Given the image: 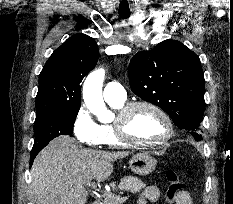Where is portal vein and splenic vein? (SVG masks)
<instances>
[{"label":"portal vein and splenic vein","instance_id":"portal-vein-and-splenic-vein-1","mask_svg":"<svg viewBox=\"0 0 233 204\" xmlns=\"http://www.w3.org/2000/svg\"><path fill=\"white\" fill-rule=\"evenodd\" d=\"M87 186L91 187L93 189L96 188L95 183H89V184H87ZM104 195L105 196H111V192L106 191V192H104ZM127 199H128V196H124V197H121V198L118 197V200L120 201V203L123 202V201H126Z\"/></svg>","mask_w":233,"mask_h":204}]
</instances>
